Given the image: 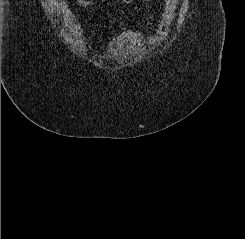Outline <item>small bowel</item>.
Segmentation results:
<instances>
[{
  "label": "small bowel",
  "mask_w": 245,
  "mask_h": 239,
  "mask_svg": "<svg viewBox=\"0 0 245 239\" xmlns=\"http://www.w3.org/2000/svg\"><path fill=\"white\" fill-rule=\"evenodd\" d=\"M79 4L83 7H91L93 5L90 0H79Z\"/></svg>",
  "instance_id": "small-bowel-1"
}]
</instances>
